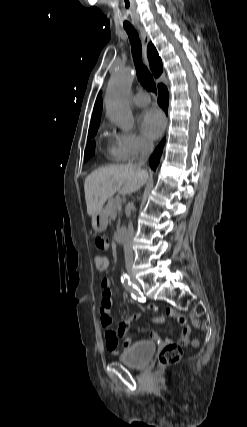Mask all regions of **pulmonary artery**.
I'll return each instance as SVG.
<instances>
[{"instance_id":"pulmonary-artery-1","label":"pulmonary artery","mask_w":247,"mask_h":427,"mask_svg":"<svg viewBox=\"0 0 247 427\" xmlns=\"http://www.w3.org/2000/svg\"><path fill=\"white\" fill-rule=\"evenodd\" d=\"M133 103L136 106H146L150 103V97L147 94L139 93L133 98Z\"/></svg>"}]
</instances>
